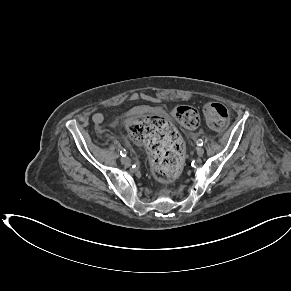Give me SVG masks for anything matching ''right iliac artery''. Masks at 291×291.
<instances>
[{"instance_id":"right-iliac-artery-1","label":"right iliac artery","mask_w":291,"mask_h":291,"mask_svg":"<svg viewBox=\"0 0 291 291\" xmlns=\"http://www.w3.org/2000/svg\"><path fill=\"white\" fill-rule=\"evenodd\" d=\"M120 155L123 156V157L126 156V150L125 149L124 150H121L120 151Z\"/></svg>"}]
</instances>
